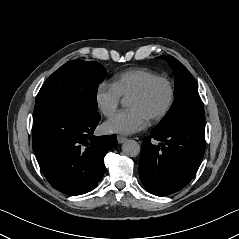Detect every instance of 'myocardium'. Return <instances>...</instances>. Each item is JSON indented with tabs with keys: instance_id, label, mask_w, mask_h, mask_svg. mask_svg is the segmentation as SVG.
I'll list each match as a JSON object with an SVG mask.
<instances>
[{
	"instance_id": "myocardium-1",
	"label": "myocardium",
	"mask_w": 239,
	"mask_h": 239,
	"mask_svg": "<svg viewBox=\"0 0 239 239\" xmlns=\"http://www.w3.org/2000/svg\"><path fill=\"white\" fill-rule=\"evenodd\" d=\"M156 83H163L166 86L167 97L162 107L147 117L148 120L158 119L162 117L163 115H165L170 109L173 98H174V90H173L171 82L165 77L158 76L156 78L149 80L142 88H140L137 92L133 93L127 99V100H136V99H140L144 97L150 91L152 86L155 85Z\"/></svg>"
}]
</instances>
